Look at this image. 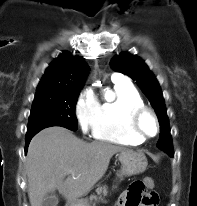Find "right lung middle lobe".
I'll use <instances>...</instances> for the list:
<instances>
[{
    "instance_id": "obj_1",
    "label": "right lung middle lobe",
    "mask_w": 197,
    "mask_h": 206,
    "mask_svg": "<svg viewBox=\"0 0 197 206\" xmlns=\"http://www.w3.org/2000/svg\"><path fill=\"white\" fill-rule=\"evenodd\" d=\"M78 91H37L29 117L26 138L44 128L61 126L76 131L75 105Z\"/></svg>"
}]
</instances>
